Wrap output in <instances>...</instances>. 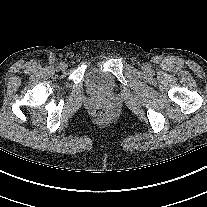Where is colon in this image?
<instances>
[{
  "label": "colon",
  "mask_w": 207,
  "mask_h": 207,
  "mask_svg": "<svg viewBox=\"0 0 207 207\" xmlns=\"http://www.w3.org/2000/svg\"><path fill=\"white\" fill-rule=\"evenodd\" d=\"M96 113L98 116L103 118H110L113 114L112 110L108 108H99Z\"/></svg>",
  "instance_id": "obj_1"
}]
</instances>
